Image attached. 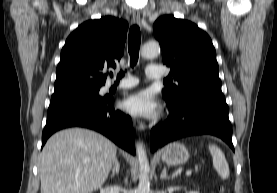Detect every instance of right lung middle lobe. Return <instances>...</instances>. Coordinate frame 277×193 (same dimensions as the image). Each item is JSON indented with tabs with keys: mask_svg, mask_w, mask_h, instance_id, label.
Listing matches in <instances>:
<instances>
[{
	"mask_svg": "<svg viewBox=\"0 0 277 193\" xmlns=\"http://www.w3.org/2000/svg\"><path fill=\"white\" fill-rule=\"evenodd\" d=\"M100 87H95V88H89V89H84L81 91H87V92H99Z\"/></svg>",
	"mask_w": 277,
	"mask_h": 193,
	"instance_id": "1",
	"label": "right lung middle lobe"
}]
</instances>
